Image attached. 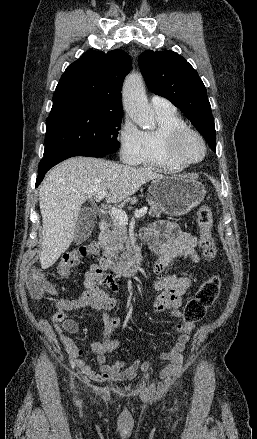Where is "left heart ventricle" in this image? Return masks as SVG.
Wrapping results in <instances>:
<instances>
[{"label": "left heart ventricle", "instance_id": "obj_1", "mask_svg": "<svg viewBox=\"0 0 257 439\" xmlns=\"http://www.w3.org/2000/svg\"><path fill=\"white\" fill-rule=\"evenodd\" d=\"M180 152L188 160H198L203 154V148L196 137L188 136L181 143Z\"/></svg>", "mask_w": 257, "mask_h": 439}]
</instances>
